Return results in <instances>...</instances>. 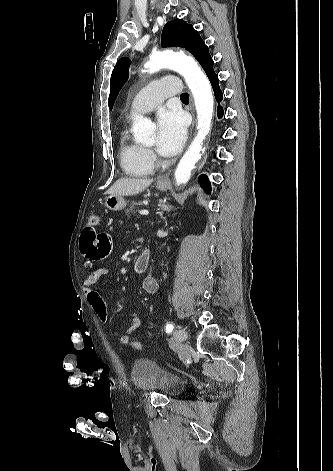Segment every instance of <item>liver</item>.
Wrapping results in <instances>:
<instances>
[{"label":"liver","instance_id":"1","mask_svg":"<svg viewBox=\"0 0 333 471\" xmlns=\"http://www.w3.org/2000/svg\"><path fill=\"white\" fill-rule=\"evenodd\" d=\"M153 179H137V178H120L106 192L115 195H135L144 191Z\"/></svg>","mask_w":333,"mask_h":471}]
</instances>
